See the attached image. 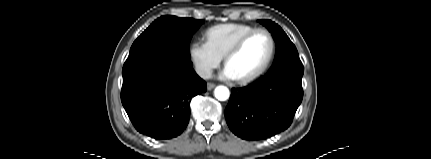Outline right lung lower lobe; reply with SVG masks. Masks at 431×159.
I'll use <instances>...</instances> for the list:
<instances>
[{
	"mask_svg": "<svg viewBox=\"0 0 431 159\" xmlns=\"http://www.w3.org/2000/svg\"><path fill=\"white\" fill-rule=\"evenodd\" d=\"M122 76L121 101L129 119L137 131L157 140L180 135L192 97L207 90L190 59L161 46L130 54Z\"/></svg>",
	"mask_w": 431,
	"mask_h": 159,
	"instance_id": "98d812e1",
	"label": "right lung lower lobe"
}]
</instances>
